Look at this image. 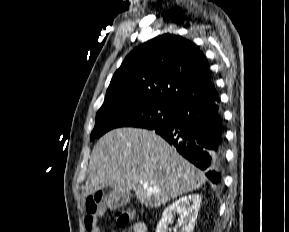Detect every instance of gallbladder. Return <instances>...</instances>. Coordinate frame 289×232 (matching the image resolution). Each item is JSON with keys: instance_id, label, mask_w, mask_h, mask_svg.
I'll return each mask as SVG.
<instances>
[{"instance_id": "bac80fb5", "label": "gallbladder", "mask_w": 289, "mask_h": 232, "mask_svg": "<svg viewBox=\"0 0 289 232\" xmlns=\"http://www.w3.org/2000/svg\"><path fill=\"white\" fill-rule=\"evenodd\" d=\"M132 195L130 192L112 190L104 199L106 206L110 209L121 208L126 206L131 199Z\"/></svg>"}]
</instances>
